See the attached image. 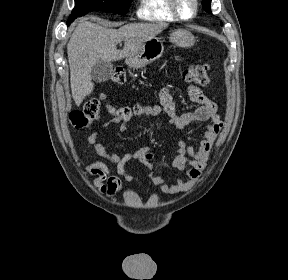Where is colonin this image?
I'll return each instance as SVG.
<instances>
[{"label":"colon","mask_w":288,"mask_h":280,"mask_svg":"<svg viewBox=\"0 0 288 280\" xmlns=\"http://www.w3.org/2000/svg\"><path fill=\"white\" fill-rule=\"evenodd\" d=\"M183 76L188 82L205 86L210 81V65L207 63L193 64L184 71ZM112 80L116 84H123L126 80L125 70L120 66L116 67L113 71ZM104 101V96L94 98L88 101L82 110L72 111L69 115L71 124L77 129L89 127L98 118ZM105 105L109 113L123 121H128L134 116H141L144 108L142 106L114 108L109 102H105Z\"/></svg>","instance_id":"colon-1"}]
</instances>
